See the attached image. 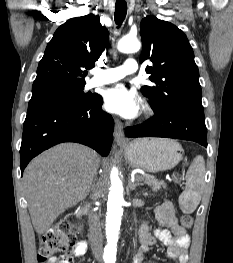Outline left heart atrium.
<instances>
[{"instance_id": "1", "label": "left heart atrium", "mask_w": 233, "mask_h": 263, "mask_svg": "<svg viewBox=\"0 0 233 263\" xmlns=\"http://www.w3.org/2000/svg\"><path fill=\"white\" fill-rule=\"evenodd\" d=\"M140 98L123 84L108 89L104 95V108L124 118H133L139 112Z\"/></svg>"}]
</instances>
